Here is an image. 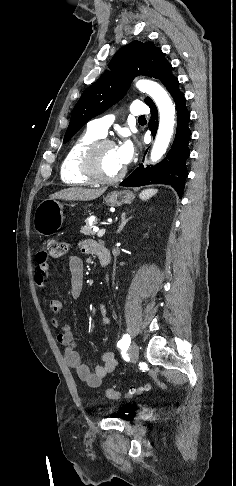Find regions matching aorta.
<instances>
[{
	"instance_id": "aorta-1",
	"label": "aorta",
	"mask_w": 236,
	"mask_h": 486,
	"mask_svg": "<svg viewBox=\"0 0 236 486\" xmlns=\"http://www.w3.org/2000/svg\"><path fill=\"white\" fill-rule=\"evenodd\" d=\"M136 86L154 100L160 114L159 127L150 157L151 161L155 163L161 159L169 146L175 125V107L165 89L158 83L140 80Z\"/></svg>"
}]
</instances>
